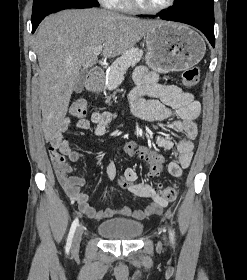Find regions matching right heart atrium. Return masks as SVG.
Returning a JSON list of instances; mask_svg holds the SVG:
<instances>
[{
  "label": "right heart atrium",
  "instance_id": "1",
  "mask_svg": "<svg viewBox=\"0 0 247 280\" xmlns=\"http://www.w3.org/2000/svg\"><path fill=\"white\" fill-rule=\"evenodd\" d=\"M98 1L106 7H113L116 5L118 0H98Z\"/></svg>",
  "mask_w": 247,
  "mask_h": 280
}]
</instances>
